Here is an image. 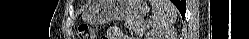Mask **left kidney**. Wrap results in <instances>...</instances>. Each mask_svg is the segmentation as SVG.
Returning <instances> with one entry per match:
<instances>
[{"label": "left kidney", "mask_w": 249, "mask_h": 39, "mask_svg": "<svg viewBox=\"0 0 249 39\" xmlns=\"http://www.w3.org/2000/svg\"><path fill=\"white\" fill-rule=\"evenodd\" d=\"M146 39H174V38L167 31L161 33L152 31L147 34Z\"/></svg>", "instance_id": "obj_1"}]
</instances>
